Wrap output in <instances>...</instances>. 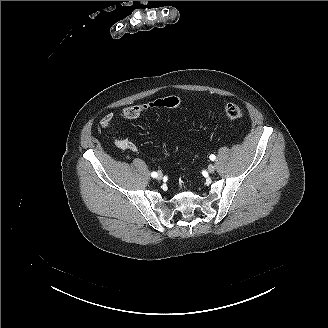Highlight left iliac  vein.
Here are the masks:
<instances>
[{"label": "left iliac vein", "mask_w": 328, "mask_h": 328, "mask_svg": "<svg viewBox=\"0 0 328 328\" xmlns=\"http://www.w3.org/2000/svg\"><path fill=\"white\" fill-rule=\"evenodd\" d=\"M208 172L213 173L215 171V166L213 164H210L207 168Z\"/></svg>", "instance_id": "obj_1"}]
</instances>
